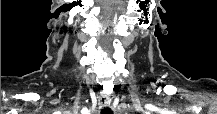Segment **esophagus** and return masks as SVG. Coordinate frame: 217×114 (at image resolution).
<instances>
[{
    "label": "esophagus",
    "mask_w": 217,
    "mask_h": 114,
    "mask_svg": "<svg viewBox=\"0 0 217 114\" xmlns=\"http://www.w3.org/2000/svg\"><path fill=\"white\" fill-rule=\"evenodd\" d=\"M111 105V98L107 95H102L99 97V106L104 108Z\"/></svg>",
    "instance_id": "34e87169"
}]
</instances>
